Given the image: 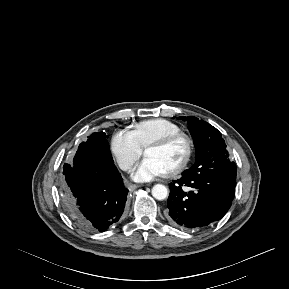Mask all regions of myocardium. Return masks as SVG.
Listing matches in <instances>:
<instances>
[{
  "label": "myocardium",
  "mask_w": 289,
  "mask_h": 289,
  "mask_svg": "<svg viewBox=\"0 0 289 289\" xmlns=\"http://www.w3.org/2000/svg\"><path fill=\"white\" fill-rule=\"evenodd\" d=\"M178 141H181L184 143L185 154H184L183 159L175 167L167 171L168 176H174V175L181 173L189 165L193 156V152H194V144H193L192 139L186 134L180 132V133L171 134L163 138H160L158 140H155L146 147V150L150 148H165Z\"/></svg>",
  "instance_id": "obj_1"
}]
</instances>
